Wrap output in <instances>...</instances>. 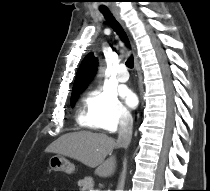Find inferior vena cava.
Masks as SVG:
<instances>
[{"label":"inferior vena cava","mask_w":210,"mask_h":191,"mask_svg":"<svg viewBox=\"0 0 210 191\" xmlns=\"http://www.w3.org/2000/svg\"><path fill=\"white\" fill-rule=\"evenodd\" d=\"M133 118L130 112L124 111L120 116L117 146L127 148L131 142Z\"/></svg>","instance_id":"1"}]
</instances>
